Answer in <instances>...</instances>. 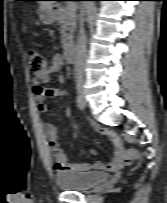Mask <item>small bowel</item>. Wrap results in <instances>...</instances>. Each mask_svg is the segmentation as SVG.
I'll list each match as a JSON object with an SVG mask.
<instances>
[{
    "mask_svg": "<svg viewBox=\"0 0 167 203\" xmlns=\"http://www.w3.org/2000/svg\"><path fill=\"white\" fill-rule=\"evenodd\" d=\"M65 68L63 55L57 53L52 58V65L43 73L37 74L32 79V91L36 99V108L39 113H45L47 105L44 99L47 97H60L63 91L59 88L51 87L46 88L44 84L48 83L51 74L61 73ZM62 79V78H61ZM93 129L109 139L113 148L114 155L108 162H94V163H71L68 161L67 155L58 143V134L56 127L50 123L44 122V130L48 137V146L53 158V167L56 171L61 170H75L87 171L104 169L110 172H116L123 166L127 165L123 161V142L120 137L113 131L101 128L99 125L94 124ZM95 153V151H92Z\"/></svg>",
    "mask_w": 167,
    "mask_h": 203,
    "instance_id": "small-bowel-1",
    "label": "small bowel"
}]
</instances>
